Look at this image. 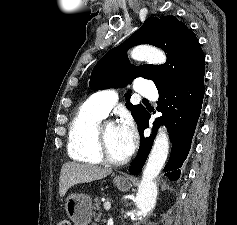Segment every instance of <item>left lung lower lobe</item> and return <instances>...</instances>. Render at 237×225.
I'll return each instance as SVG.
<instances>
[{
    "label": "left lung lower lobe",
    "mask_w": 237,
    "mask_h": 225,
    "mask_svg": "<svg viewBox=\"0 0 237 225\" xmlns=\"http://www.w3.org/2000/svg\"><path fill=\"white\" fill-rule=\"evenodd\" d=\"M203 78L184 84L179 88L158 91L159 99L156 109L158 112H162L163 116L155 119L151 135L144 138L143 132L149 127V118L151 117L147 110L144 112L138 123L141 136L140 149L135 161L129 168L131 174H137L141 171L152 148L158 127L160 123H165L171 138L172 149L169 160L164 167V172L172 181L180 177L181 171L178 169L182 166L190 151L202 108L205 93Z\"/></svg>",
    "instance_id": "left-lung-lower-lobe-1"
}]
</instances>
